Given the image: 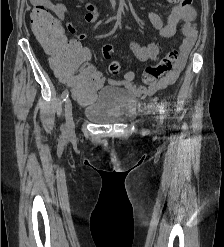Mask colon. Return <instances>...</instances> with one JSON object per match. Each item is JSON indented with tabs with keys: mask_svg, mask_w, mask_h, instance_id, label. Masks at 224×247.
<instances>
[{
	"mask_svg": "<svg viewBox=\"0 0 224 247\" xmlns=\"http://www.w3.org/2000/svg\"><path fill=\"white\" fill-rule=\"evenodd\" d=\"M31 27L39 43L53 54L52 65L55 72L71 86L76 99L82 104L92 101L100 80L95 69L87 64L90 50L79 42L67 40L59 22L46 7L39 6L32 11ZM102 54L105 59L110 60L113 47L105 45ZM177 59L176 51L168 52L158 64L146 68L144 81L150 84L156 82L160 76L173 69ZM109 71L112 75H119L121 72L119 62L111 61Z\"/></svg>",
	"mask_w": 224,
	"mask_h": 247,
	"instance_id": "1",
	"label": "colon"
}]
</instances>
